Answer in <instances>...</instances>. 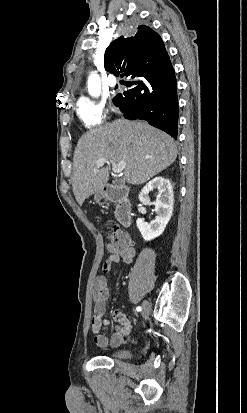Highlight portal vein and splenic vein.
<instances>
[{
  "label": "portal vein and splenic vein",
  "mask_w": 247,
  "mask_h": 413,
  "mask_svg": "<svg viewBox=\"0 0 247 413\" xmlns=\"http://www.w3.org/2000/svg\"><path fill=\"white\" fill-rule=\"evenodd\" d=\"M105 162H109V164H112V170L113 172H122L123 168L126 166L125 160H121V162H115V160H111V158H98L96 164L97 166H103ZM115 176H119V174H115Z\"/></svg>",
  "instance_id": "obj_1"
}]
</instances>
